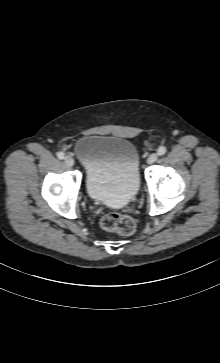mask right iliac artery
<instances>
[{
	"instance_id": "82829eb1",
	"label": "right iliac artery",
	"mask_w": 220,
	"mask_h": 363,
	"mask_svg": "<svg viewBox=\"0 0 220 363\" xmlns=\"http://www.w3.org/2000/svg\"><path fill=\"white\" fill-rule=\"evenodd\" d=\"M64 153L63 152H58L57 153V157L59 158V159H64Z\"/></svg>"
}]
</instances>
